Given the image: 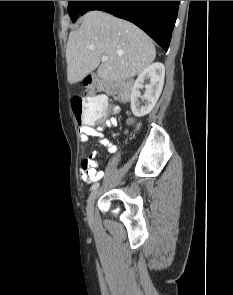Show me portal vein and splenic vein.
Listing matches in <instances>:
<instances>
[{
  "label": "portal vein and splenic vein",
  "instance_id": "obj_1",
  "mask_svg": "<svg viewBox=\"0 0 233 295\" xmlns=\"http://www.w3.org/2000/svg\"><path fill=\"white\" fill-rule=\"evenodd\" d=\"M106 60H108V57L107 56H102V61H106Z\"/></svg>",
  "mask_w": 233,
  "mask_h": 295
}]
</instances>
